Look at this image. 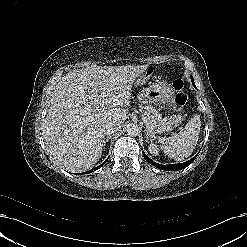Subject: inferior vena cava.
<instances>
[{"label": "inferior vena cava", "mask_w": 247, "mask_h": 247, "mask_svg": "<svg viewBox=\"0 0 247 247\" xmlns=\"http://www.w3.org/2000/svg\"><path fill=\"white\" fill-rule=\"evenodd\" d=\"M121 129V122L111 121L104 126L105 135L111 136Z\"/></svg>", "instance_id": "602c4592"}]
</instances>
